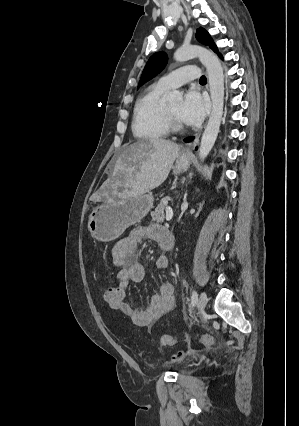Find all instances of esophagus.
<instances>
[{
    "instance_id": "1",
    "label": "esophagus",
    "mask_w": 299,
    "mask_h": 426,
    "mask_svg": "<svg viewBox=\"0 0 299 426\" xmlns=\"http://www.w3.org/2000/svg\"><path fill=\"white\" fill-rule=\"evenodd\" d=\"M183 152H184L185 154H187V153L189 152V149H185Z\"/></svg>"
}]
</instances>
